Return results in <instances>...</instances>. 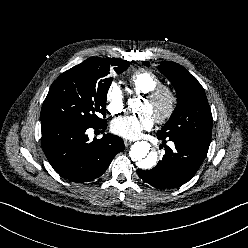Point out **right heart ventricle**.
Listing matches in <instances>:
<instances>
[{"label":"right heart ventricle","instance_id":"obj_1","mask_svg":"<svg viewBox=\"0 0 248 248\" xmlns=\"http://www.w3.org/2000/svg\"><path fill=\"white\" fill-rule=\"evenodd\" d=\"M131 90L137 94H146L162 84L157 74L148 69H139L128 78Z\"/></svg>","mask_w":248,"mask_h":248}]
</instances>
